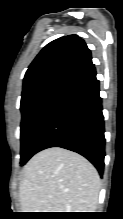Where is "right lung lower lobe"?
<instances>
[{
  "label": "right lung lower lobe",
  "instance_id": "98d812e1",
  "mask_svg": "<svg viewBox=\"0 0 123 219\" xmlns=\"http://www.w3.org/2000/svg\"><path fill=\"white\" fill-rule=\"evenodd\" d=\"M99 91L94 66L72 78L48 114L32 154L50 147L65 148L87 158L102 175L105 137Z\"/></svg>",
  "mask_w": 123,
  "mask_h": 219
}]
</instances>
